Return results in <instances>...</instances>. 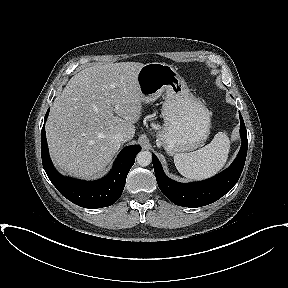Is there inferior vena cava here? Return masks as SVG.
Instances as JSON below:
<instances>
[{"label":"inferior vena cava","mask_w":288,"mask_h":288,"mask_svg":"<svg viewBox=\"0 0 288 288\" xmlns=\"http://www.w3.org/2000/svg\"><path fill=\"white\" fill-rule=\"evenodd\" d=\"M115 139L118 141V142H124L125 141V136L122 134V133H117L115 135Z\"/></svg>","instance_id":"inferior-vena-cava-1"}]
</instances>
